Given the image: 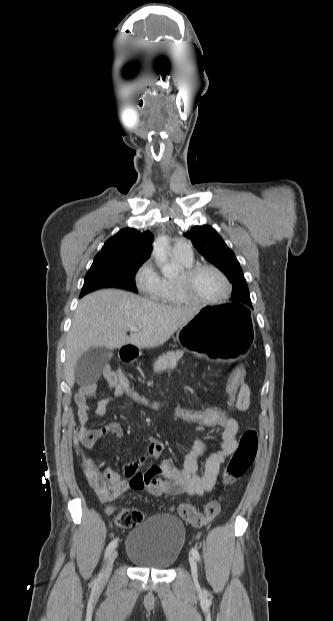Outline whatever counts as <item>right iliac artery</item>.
Returning a JSON list of instances; mask_svg holds the SVG:
<instances>
[{
    "label": "right iliac artery",
    "instance_id": "1",
    "mask_svg": "<svg viewBox=\"0 0 333 621\" xmlns=\"http://www.w3.org/2000/svg\"><path fill=\"white\" fill-rule=\"evenodd\" d=\"M117 546V539H114L113 541H111L109 543V545L107 546L106 550H105V559L107 557H109V555L111 554V552L116 548ZM102 578V572L99 574L98 576V580Z\"/></svg>",
    "mask_w": 333,
    "mask_h": 621
}]
</instances>
